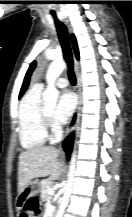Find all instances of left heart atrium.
I'll list each match as a JSON object with an SVG mask.
<instances>
[{
    "mask_svg": "<svg viewBox=\"0 0 132 217\" xmlns=\"http://www.w3.org/2000/svg\"><path fill=\"white\" fill-rule=\"evenodd\" d=\"M76 108V98L70 91H64L59 97L55 110V118L59 122H66L74 113Z\"/></svg>",
    "mask_w": 132,
    "mask_h": 217,
    "instance_id": "left-heart-atrium-1",
    "label": "left heart atrium"
}]
</instances>
